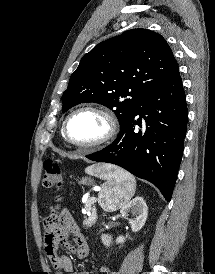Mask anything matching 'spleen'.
Segmentation results:
<instances>
[{
    "label": "spleen",
    "mask_w": 215,
    "mask_h": 274,
    "mask_svg": "<svg viewBox=\"0 0 215 274\" xmlns=\"http://www.w3.org/2000/svg\"><path fill=\"white\" fill-rule=\"evenodd\" d=\"M85 172L106 180L98 195L99 204L105 211L121 208L135 193V178L119 167L108 164L92 165Z\"/></svg>",
    "instance_id": "1"
}]
</instances>
